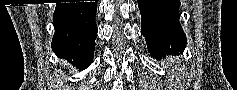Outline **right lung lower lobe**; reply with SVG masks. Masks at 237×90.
Wrapping results in <instances>:
<instances>
[{
	"label": "right lung lower lobe",
	"instance_id": "obj_1",
	"mask_svg": "<svg viewBox=\"0 0 237 90\" xmlns=\"http://www.w3.org/2000/svg\"><path fill=\"white\" fill-rule=\"evenodd\" d=\"M96 2L57 3L53 14L52 50L59 58L86 69L94 56Z\"/></svg>",
	"mask_w": 237,
	"mask_h": 90
}]
</instances>
